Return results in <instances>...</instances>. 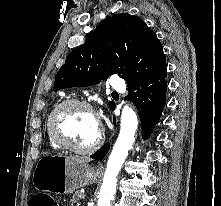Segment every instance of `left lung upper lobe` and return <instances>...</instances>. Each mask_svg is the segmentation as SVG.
Instances as JSON below:
<instances>
[{
    "label": "left lung upper lobe",
    "instance_id": "left-lung-upper-lobe-1",
    "mask_svg": "<svg viewBox=\"0 0 221 206\" xmlns=\"http://www.w3.org/2000/svg\"><path fill=\"white\" fill-rule=\"evenodd\" d=\"M164 69L165 55L156 34L140 18L118 14L101 22L82 46L67 55L55 76L54 91L95 85L112 74L130 86ZM109 105L115 107L113 102Z\"/></svg>",
    "mask_w": 221,
    "mask_h": 206
}]
</instances>
